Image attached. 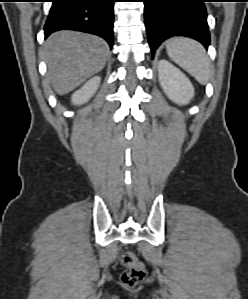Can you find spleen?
Wrapping results in <instances>:
<instances>
[{
	"label": "spleen",
	"mask_w": 248,
	"mask_h": 299,
	"mask_svg": "<svg viewBox=\"0 0 248 299\" xmlns=\"http://www.w3.org/2000/svg\"><path fill=\"white\" fill-rule=\"evenodd\" d=\"M166 50L169 57L199 83L204 85L208 82L210 61L199 42L189 38L175 37L167 41Z\"/></svg>",
	"instance_id": "spleen-1"
}]
</instances>
